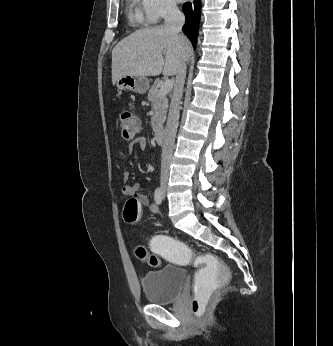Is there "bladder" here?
I'll use <instances>...</instances> for the list:
<instances>
[{
    "instance_id": "obj_1",
    "label": "bladder",
    "mask_w": 333,
    "mask_h": 346,
    "mask_svg": "<svg viewBox=\"0 0 333 346\" xmlns=\"http://www.w3.org/2000/svg\"><path fill=\"white\" fill-rule=\"evenodd\" d=\"M185 280L183 268L167 265L156 271H149L141 279L144 294L151 304H167L180 294Z\"/></svg>"
}]
</instances>
